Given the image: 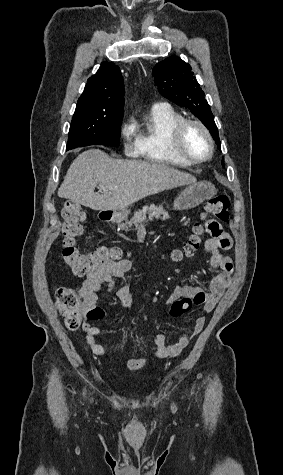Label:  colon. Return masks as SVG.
Returning a JSON list of instances; mask_svg holds the SVG:
<instances>
[{"mask_svg": "<svg viewBox=\"0 0 283 475\" xmlns=\"http://www.w3.org/2000/svg\"><path fill=\"white\" fill-rule=\"evenodd\" d=\"M206 212L214 215L220 224L230 220L229 197L219 194L210 198L205 205ZM62 215V240L60 243L61 258L71 269L74 276L86 277L102 265L114 262L118 265L124 257V252L119 248L97 247L88 252H83L77 247V239L83 233V222L86 219L84 208L73 202L67 201L61 211ZM204 228L200 224L193 226L187 241L178 252L179 256H194L202 244ZM130 263H126L129 268ZM54 308L64 316L66 328L76 331L81 323L79 311L86 304V299L81 297V291L73 286H61L55 293ZM192 305V299L184 298L182 301L170 306L171 314H187Z\"/></svg>", "mask_w": 283, "mask_h": 475, "instance_id": "colon-1", "label": "colon"}]
</instances>
